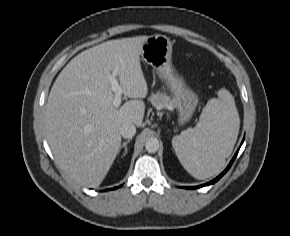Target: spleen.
<instances>
[{"label": "spleen", "mask_w": 290, "mask_h": 236, "mask_svg": "<svg viewBox=\"0 0 290 236\" xmlns=\"http://www.w3.org/2000/svg\"><path fill=\"white\" fill-rule=\"evenodd\" d=\"M218 96L207 102L193 129L172 139L182 166L201 180L224 168L239 133L240 119L233 96L226 89L219 90Z\"/></svg>", "instance_id": "3e777b00"}]
</instances>
